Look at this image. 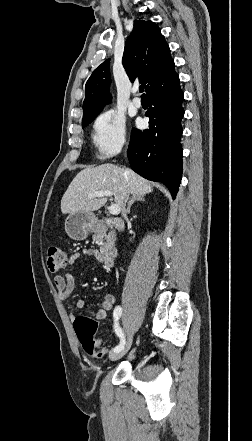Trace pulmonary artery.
Wrapping results in <instances>:
<instances>
[{
  "instance_id": "1",
  "label": "pulmonary artery",
  "mask_w": 252,
  "mask_h": 441,
  "mask_svg": "<svg viewBox=\"0 0 252 441\" xmlns=\"http://www.w3.org/2000/svg\"><path fill=\"white\" fill-rule=\"evenodd\" d=\"M137 89H133V93H136ZM132 104L136 107V108H140L142 105L141 99L139 97H134L132 99Z\"/></svg>"
}]
</instances>
